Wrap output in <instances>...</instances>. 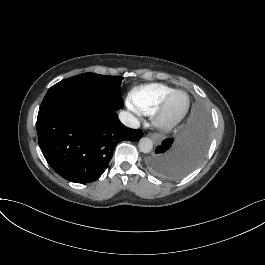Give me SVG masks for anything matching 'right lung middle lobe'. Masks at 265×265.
<instances>
[{"label":"right lung middle lobe","instance_id":"obj_1","mask_svg":"<svg viewBox=\"0 0 265 265\" xmlns=\"http://www.w3.org/2000/svg\"><path fill=\"white\" fill-rule=\"evenodd\" d=\"M121 76L83 73L55 84L46 93L42 104L58 97H72L104 110L123 108Z\"/></svg>","mask_w":265,"mask_h":265}]
</instances>
